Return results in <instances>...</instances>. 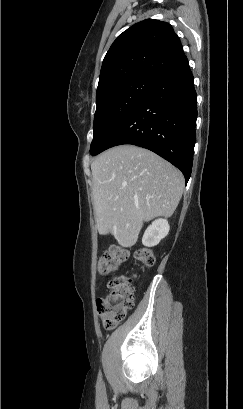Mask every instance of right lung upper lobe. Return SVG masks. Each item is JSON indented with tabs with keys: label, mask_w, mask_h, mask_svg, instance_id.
I'll list each match as a JSON object with an SVG mask.
<instances>
[{
	"label": "right lung upper lobe",
	"mask_w": 243,
	"mask_h": 409,
	"mask_svg": "<svg viewBox=\"0 0 243 409\" xmlns=\"http://www.w3.org/2000/svg\"><path fill=\"white\" fill-rule=\"evenodd\" d=\"M185 57L172 26L154 19L128 28L113 42L102 64L96 99L114 84L136 78L159 80Z\"/></svg>",
	"instance_id": "right-lung-upper-lobe-1"
}]
</instances>
